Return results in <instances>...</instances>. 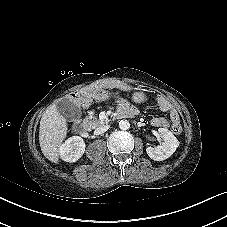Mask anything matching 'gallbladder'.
<instances>
[{
    "label": "gallbladder",
    "mask_w": 227,
    "mask_h": 227,
    "mask_svg": "<svg viewBox=\"0 0 227 227\" xmlns=\"http://www.w3.org/2000/svg\"><path fill=\"white\" fill-rule=\"evenodd\" d=\"M57 109L68 120H74L81 115L80 107L67 98H63L58 102Z\"/></svg>",
    "instance_id": "gallbladder-1"
}]
</instances>
